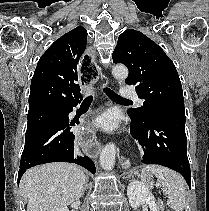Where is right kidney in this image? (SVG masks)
<instances>
[{
    "instance_id": "right-kidney-1",
    "label": "right kidney",
    "mask_w": 209,
    "mask_h": 211,
    "mask_svg": "<svg viewBox=\"0 0 209 211\" xmlns=\"http://www.w3.org/2000/svg\"><path fill=\"white\" fill-rule=\"evenodd\" d=\"M58 211H69L67 207L60 208Z\"/></svg>"
}]
</instances>
